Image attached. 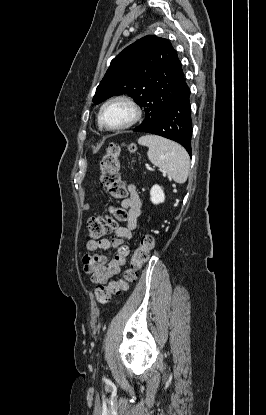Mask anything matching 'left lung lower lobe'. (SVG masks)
Masks as SVG:
<instances>
[{
    "label": "left lung lower lobe",
    "mask_w": 266,
    "mask_h": 415,
    "mask_svg": "<svg viewBox=\"0 0 266 415\" xmlns=\"http://www.w3.org/2000/svg\"><path fill=\"white\" fill-rule=\"evenodd\" d=\"M190 88L187 84L169 104L162 115L151 125L134 130L163 136L180 143L191 155V104Z\"/></svg>",
    "instance_id": "0a47b994"
}]
</instances>
